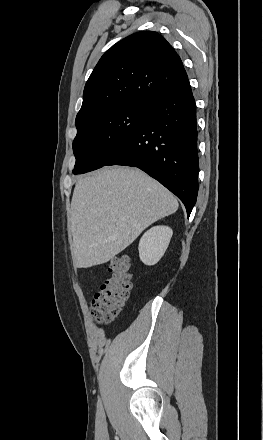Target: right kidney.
Here are the masks:
<instances>
[{
    "label": "right kidney",
    "mask_w": 263,
    "mask_h": 440,
    "mask_svg": "<svg viewBox=\"0 0 263 440\" xmlns=\"http://www.w3.org/2000/svg\"><path fill=\"white\" fill-rule=\"evenodd\" d=\"M173 231L168 226H155L141 237L139 257L145 265L156 264L164 255Z\"/></svg>",
    "instance_id": "right-kidney-1"
}]
</instances>
